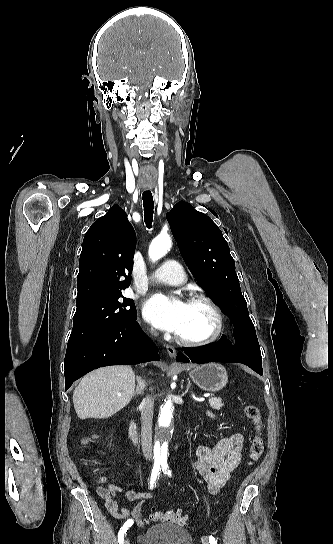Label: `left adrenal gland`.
<instances>
[{
    "label": "left adrenal gland",
    "mask_w": 333,
    "mask_h": 544,
    "mask_svg": "<svg viewBox=\"0 0 333 544\" xmlns=\"http://www.w3.org/2000/svg\"><path fill=\"white\" fill-rule=\"evenodd\" d=\"M191 387V383L188 382L186 392H188L189 388Z\"/></svg>",
    "instance_id": "obj_1"
}]
</instances>
